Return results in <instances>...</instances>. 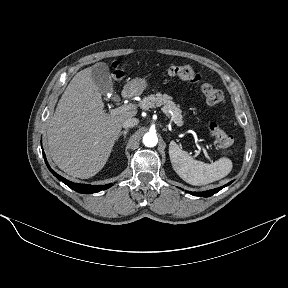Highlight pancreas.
I'll use <instances>...</instances> for the list:
<instances>
[{
	"label": "pancreas",
	"mask_w": 288,
	"mask_h": 288,
	"mask_svg": "<svg viewBox=\"0 0 288 288\" xmlns=\"http://www.w3.org/2000/svg\"><path fill=\"white\" fill-rule=\"evenodd\" d=\"M167 94H151L142 99L139 103L142 109H149L155 107H162V110L171 117L177 125H182V115L179 106H177Z\"/></svg>",
	"instance_id": "cf45deb5"
}]
</instances>
